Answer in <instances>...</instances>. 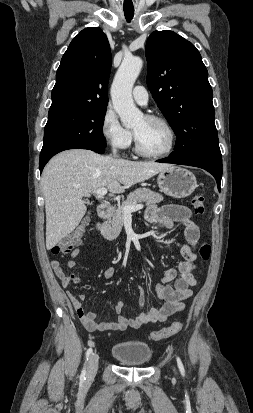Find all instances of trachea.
I'll return each mask as SVG.
<instances>
[{
	"mask_svg": "<svg viewBox=\"0 0 253 413\" xmlns=\"http://www.w3.org/2000/svg\"><path fill=\"white\" fill-rule=\"evenodd\" d=\"M124 15L127 22H130L134 16V10H124Z\"/></svg>",
	"mask_w": 253,
	"mask_h": 413,
	"instance_id": "1",
	"label": "trachea"
}]
</instances>
